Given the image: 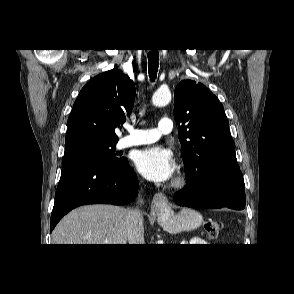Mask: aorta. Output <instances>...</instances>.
I'll return each mask as SVG.
<instances>
[{"instance_id":"762f6f07","label":"aorta","mask_w":294,"mask_h":294,"mask_svg":"<svg viewBox=\"0 0 294 294\" xmlns=\"http://www.w3.org/2000/svg\"><path fill=\"white\" fill-rule=\"evenodd\" d=\"M170 101H171V92L168 89H158L152 97V103L158 107L165 106Z\"/></svg>"}]
</instances>
